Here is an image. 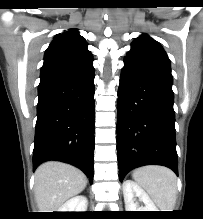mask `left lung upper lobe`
<instances>
[{
    "instance_id": "5c2ea615",
    "label": "left lung upper lobe",
    "mask_w": 203,
    "mask_h": 219,
    "mask_svg": "<svg viewBox=\"0 0 203 219\" xmlns=\"http://www.w3.org/2000/svg\"><path fill=\"white\" fill-rule=\"evenodd\" d=\"M125 58L135 59L171 72L170 60L167 54L161 45L148 35L138 37L132 43L131 50Z\"/></svg>"
}]
</instances>
